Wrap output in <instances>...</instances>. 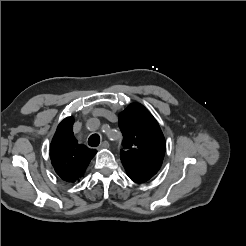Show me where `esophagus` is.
Wrapping results in <instances>:
<instances>
[{"label":"esophagus","instance_id":"obj_1","mask_svg":"<svg viewBox=\"0 0 246 246\" xmlns=\"http://www.w3.org/2000/svg\"><path fill=\"white\" fill-rule=\"evenodd\" d=\"M109 146H110L109 142L105 140V141H103V142L100 144L99 148H100V149H106V148H109Z\"/></svg>","mask_w":246,"mask_h":246}]
</instances>
